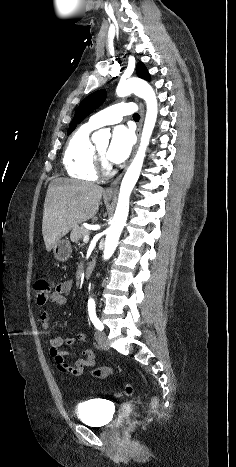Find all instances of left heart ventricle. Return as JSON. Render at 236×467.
I'll return each instance as SVG.
<instances>
[{"label": "left heart ventricle", "instance_id": "1", "mask_svg": "<svg viewBox=\"0 0 236 467\" xmlns=\"http://www.w3.org/2000/svg\"><path fill=\"white\" fill-rule=\"evenodd\" d=\"M99 152L106 157L107 150H108V143L101 144L97 146Z\"/></svg>", "mask_w": 236, "mask_h": 467}]
</instances>
